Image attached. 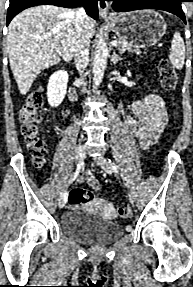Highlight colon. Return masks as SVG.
<instances>
[{"mask_svg":"<svg viewBox=\"0 0 193 287\" xmlns=\"http://www.w3.org/2000/svg\"><path fill=\"white\" fill-rule=\"evenodd\" d=\"M160 83L163 90L171 92L177 85V73L174 66L167 59H162L158 66ZM45 106L42 90L32 92L24 106L20 110V130L28 143L30 152L36 165L41 166L46 154V146L40 139L41 135V111ZM93 199L91 191L75 187L70 191L69 202L72 205L87 203ZM116 216L124 218L126 210L122 206L116 208Z\"/></svg>","mask_w":193,"mask_h":287,"instance_id":"obj_1","label":"colon"}]
</instances>
